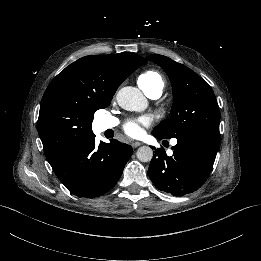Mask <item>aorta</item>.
I'll return each mask as SVG.
<instances>
[{
	"mask_svg": "<svg viewBox=\"0 0 261 261\" xmlns=\"http://www.w3.org/2000/svg\"><path fill=\"white\" fill-rule=\"evenodd\" d=\"M117 104L128 111H142L147 106V100L135 87H122L116 94ZM137 158L141 162H150L153 158V150L149 146H141L137 150Z\"/></svg>",
	"mask_w": 261,
	"mask_h": 261,
	"instance_id": "aorta-1",
	"label": "aorta"
}]
</instances>
